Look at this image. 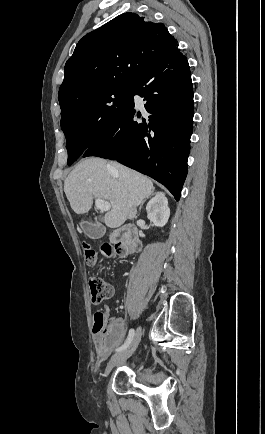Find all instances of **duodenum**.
<instances>
[{"mask_svg":"<svg viewBox=\"0 0 265 434\" xmlns=\"http://www.w3.org/2000/svg\"><path fill=\"white\" fill-rule=\"evenodd\" d=\"M132 229H137V228L135 226H132V225H127V226H124L122 228L113 229L109 235L110 242L111 243H116L118 241L124 242L125 246H126V253L128 254L129 241H130V235H131Z\"/></svg>","mask_w":265,"mask_h":434,"instance_id":"obj_1","label":"duodenum"}]
</instances>
